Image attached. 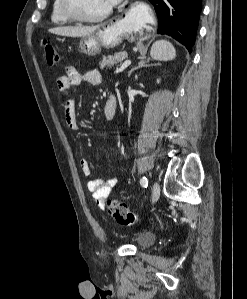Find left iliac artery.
<instances>
[{
    "instance_id": "obj_1",
    "label": "left iliac artery",
    "mask_w": 247,
    "mask_h": 299,
    "mask_svg": "<svg viewBox=\"0 0 247 299\" xmlns=\"http://www.w3.org/2000/svg\"><path fill=\"white\" fill-rule=\"evenodd\" d=\"M140 184L142 187H147L148 186V179L146 177H142L140 180Z\"/></svg>"
}]
</instances>
